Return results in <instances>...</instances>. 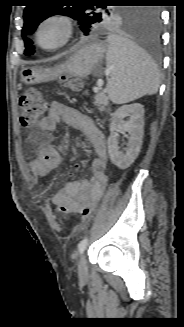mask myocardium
Wrapping results in <instances>:
<instances>
[{
	"mask_svg": "<svg viewBox=\"0 0 184 327\" xmlns=\"http://www.w3.org/2000/svg\"><path fill=\"white\" fill-rule=\"evenodd\" d=\"M51 22L60 23L64 28V34L59 43H57L53 46H45L41 43L40 33H41L42 28L46 24L51 23ZM74 33H75V26H74V22L71 17H69L68 15H65V14H58V13L50 14V15L44 17L37 24L36 29H35V41H36V44L38 45V47H40L41 49L46 50V51H54V50L64 47L66 44H68L69 41L72 39Z\"/></svg>",
	"mask_w": 184,
	"mask_h": 327,
	"instance_id": "obj_1",
	"label": "myocardium"
}]
</instances>
